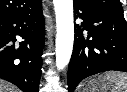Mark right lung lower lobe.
Here are the masks:
<instances>
[{
  "mask_svg": "<svg viewBox=\"0 0 127 92\" xmlns=\"http://www.w3.org/2000/svg\"><path fill=\"white\" fill-rule=\"evenodd\" d=\"M44 32L41 2L30 11L0 19V78L24 92H38Z\"/></svg>",
  "mask_w": 127,
  "mask_h": 92,
  "instance_id": "98d812e1",
  "label": "right lung lower lobe"
}]
</instances>
